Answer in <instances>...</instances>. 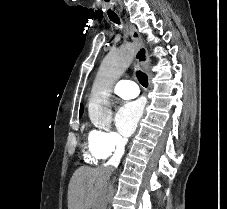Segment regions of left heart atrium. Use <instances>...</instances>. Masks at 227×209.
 <instances>
[{"label": "left heart atrium", "instance_id": "1", "mask_svg": "<svg viewBox=\"0 0 227 209\" xmlns=\"http://www.w3.org/2000/svg\"><path fill=\"white\" fill-rule=\"evenodd\" d=\"M143 112L144 103L141 100L125 101L120 105L116 123L123 136L129 137L134 133Z\"/></svg>", "mask_w": 227, "mask_h": 209}]
</instances>
